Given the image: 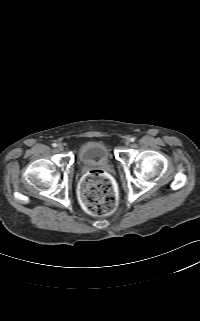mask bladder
<instances>
[{"instance_id": "31cf9c89", "label": "bladder", "mask_w": 200, "mask_h": 321, "mask_svg": "<svg viewBox=\"0 0 200 321\" xmlns=\"http://www.w3.org/2000/svg\"><path fill=\"white\" fill-rule=\"evenodd\" d=\"M111 159V147L101 140L87 141L78 150V160L82 164L107 163Z\"/></svg>"}]
</instances>
